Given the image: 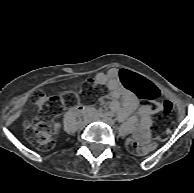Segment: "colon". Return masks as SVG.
<instances>
[{
  "instance_id": "obj_1",
  "label": "colon",
  "mask_w": 194,
  "mask_h": 193,
  "mask_svg": "<svg viewBox=\"0 0 194 193\" xmlns=\"http://www.w3.org/2000/svg\"><path fill=\"white\" fill-rule=\"evenodd\" d=\"M119 77L126 88L136 93L139 100L146 104H150L165 116L171 114L173 110L172 103L169 100L162 99L149 81L127 70L121 71ZM96 90L97 84L92 80L84 82L81 86L82 94L87 100L94 99ZM41 101H50L53 111L60 110L63 105V101L59 96H51L49 98L42 97ZM22 125L26 138L35 147L44 151L53 149L55 146V139L44 122L24 117L22 119ZM153 130L158 136L163 135L165 132L163 125L159 122L155 123ZM127 147L135 154H145L147 152V148L142 147L138 142L132 139L128 140Z\"/></svg>"
}]
</instances>
